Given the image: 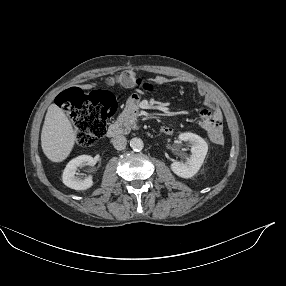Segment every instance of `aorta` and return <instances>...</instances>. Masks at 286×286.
I'll use <instances>...</instances> for the list:
<instances>
[{"mask_svg":"<svg viewBox=\"0 0 286 286\" xmlns=\"http://www.w3.org/2000/svg\"><path fill=\"white\" fill-rule=\"evenodd\" d=\"M130 147L134 150V151H140L143 149L144 147V143L140 138H132L130 141Z\"/></svg>","mask_w":286,"mask_h":286,"instance_id":"1","label":"aorta"}]
</instances>
